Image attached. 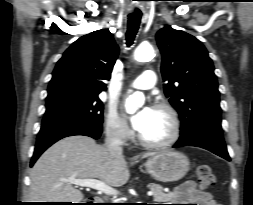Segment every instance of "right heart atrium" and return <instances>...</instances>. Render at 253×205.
I'll use <instances>...</instances> for the list:
<instances>
[{"instance_id":"obj_1","label":"right heart atrium","mask_w":253,"mask_h":205,"mask_svg":"<svg viewBox=\"0 0 253 205\" xmlns=\"http://www.w3.org/2000/svg\"><path fill=\"white\" fill-rule=\"evenodd\" d=\"M105 131L111 139L118 142L127 141L131 135L126 119L114 109H109L105 115Z\"/></svg>"}]
</instances>
